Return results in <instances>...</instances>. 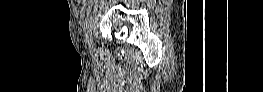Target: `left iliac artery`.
Segmentation results:
<instances>
[{
	"label": "left iliac artery",
	"mask_w": 263,
	"mask_h": 92,
	"mask_svg": "<svg viewBox=\"0 0 263 92\" xmlns=\"http://www.w3.org/2000/svg\"><path fill=\"white\" fill-rule=\"evenodd\" d=\"M91 20H93V15H88V21L86 23V32H85V37H86V41L89 44V41L91 40V36H92V22Z\"/></svg>",
	"instance_id": "44dca946"
}]
</instances>
